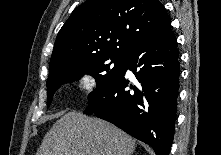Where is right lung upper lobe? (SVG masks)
<instances>
[{
	"label": "right lung upper lobe",
	"mask_w": 221,
	"mask_h": 155,
	"mask_svg": "<svg viewBox=\"0 0 221 155\" xmlns=\"http://www.w3.org/2000/svg\"><path fill=\"white\" fill-rule=\"evenodd\" d=\"M168 26L159 0H87L59 31L49 74L79 61L127 57L141 39Z\"/></svg>",
	"instance_id": "obj_1"
}]
</instances>
